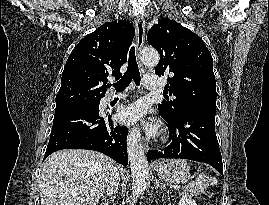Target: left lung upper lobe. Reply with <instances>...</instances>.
Here are the masks:
<instances>
[{"instance_id":"left-lung-upper-lobe-1","label":"left lung upper lobe","mask_w":269,"mask_h":205,"mask_svg":"<svg viewBox=\"0 0 269 205\" xmlns=\"http://www.w3.org/2000/svg\"><path fill=\"white\" fill-rule=\"evenodd\" d=\"M148 44L160 53L158 76L170 75L166 98L159 110L170 118L195 108L216 110V81L213 58L202 39L174 20L161 18L147 35Z\"/></svg>"}]
</instances>
